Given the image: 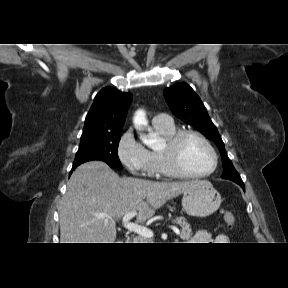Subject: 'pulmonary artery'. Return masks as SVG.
I'll return each instance as SVG.
<instances>
[{
  "instance_id": "1",
  "label": "pulmonary artery",
  "mask_w": 288,
  "mask_h": 288,
  "mask_svg": "<svg viewBox=\"0 0 288 288\" xmlns=\"http://www.w3.org/2000/svg\"><path fill=\"white\" fill-rule=\"evenodd\" d=\"M172 119L168 114L161 113L153 118V125L168 126L171 125Z\"/></svg>"
}]
</instances>
